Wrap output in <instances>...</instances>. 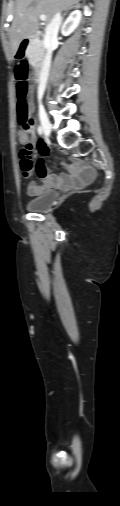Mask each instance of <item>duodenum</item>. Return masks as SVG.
<instances>
[{
  "mask_svg": "<svg viewBox=\"0 0 120 506\" xmlns=\"http://www.w3.org/2000/svg\"><path fill=\"white\" fill-rule=\"evenodd\" d=\"M41 33H34L28 37H25L21 44L17 47V54H18V57L19 58H26L27 57V48L28 46L33 42V41H36L38 40L40 37H41ZM34 67H35V70H36V76L37 78L41 76L42 74V71H43V63L42 62H36L34 64Z\"/></svg>",
  "mask_w": 120,
  "mask_h": 506,
  "instance_id": "duodenum-1",
  "label": "duodenum"
}]
</instances>
